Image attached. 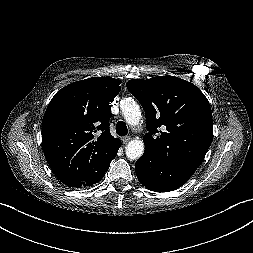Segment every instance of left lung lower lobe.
<instances>
[{"mask_svg":"<svg viewBox=\"0 0 253 253\" xmlns=\"http://www.w3.org/2000/svg\"><path fill=\"white\" fill-rule=\"evenodd\" d=\"M197 168L195 164L180 166L163 164L147 151H144L142 157L135 163L139 181L155 192H169L179 188L189 180Z\"/></svg>","mask_w":253,"mask_h":253,"instance_id":"0a47b994","label":"left lung lower lobe"}]
</instances>
